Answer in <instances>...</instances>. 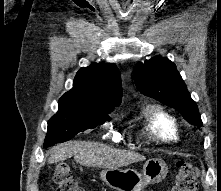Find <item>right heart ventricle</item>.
<instances>
[{"instance_id":"obj_1","label":"right heart ventricle","mask_w":221,"mask_h":191,"mask_svg":"<svg viewBox=\"0 0 221 191\" xmlns=\"http://www.w3.org/2000/svg\"><path fill=\"white\" fill-rule=\"evenodd\" d=\"M142 126L144 132L152 139L173 143L181 138L182 129L177 117L160 105H147L142 109Z\"/></svg>"}]
</instances>
